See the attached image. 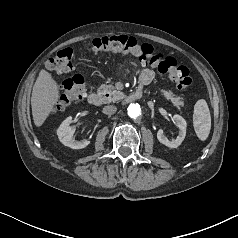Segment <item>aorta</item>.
Returning a JSON list of instances; mask_svg holds the SVG:
<instances>
[{
	"label": "aorta",
	"instance_id": "762f6f07",
	"mask_svg": "<svg viewBox=\"0 0 238 238\" xmlns=\"http://www.w3.org/2000/svg\"><path fill=\"white\" fill-rule=\"evenodd\" d=\"M128 116L131 118H137L141 115V106L138 103H131L128 108Z\"/></svg>",
	"mask_w": 238,
	"mask_h": 238
}]
</instances>
